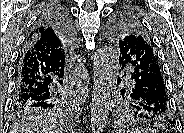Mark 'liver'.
I'll return each instance as SVG.
<instances>
[{
    "mask_svg": "<svg viewBox=\"0 0 184 133\" xmlns=\"http://www.w3.org/2000/svg\"><path fill=\"white\" fill-rule=\"evenodd\" d=\"M63 133L62 127L52 118L33 116L16 124L10 133Z\"/></svg>",
    "mask_w": 184,
    "mask_h": 133,
    "instance_id": "6515ba94",
    "label": "liver"
}]
</instances>
